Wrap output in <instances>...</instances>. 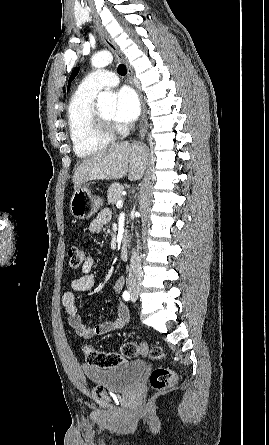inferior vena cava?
Listing matches in <instances>:
<instances>
[{
    "label": "inferior vena cava",
    "mask_w": 269,
    "mask_h": 445,
    "mask_svg": "<svg viewBox=\"0 0 269 445\" xmlns=\"http://www.w3.org/2000/svg\"><path fill=\"white\" fill-rule=\"evenodd\" d=\"M142 277L141 261L138 250L132 252L130 269H129V280L135 281L140 280Z\"/></svg>",
    "instance_id": "obj_1"
}]
</instances>
